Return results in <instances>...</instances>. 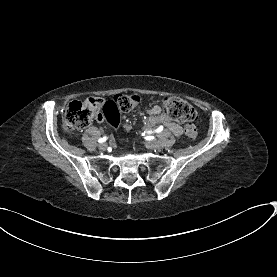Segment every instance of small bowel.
Returning <instances> with one entry per match:
<instances>
[{"label": "small bowel", "instance_id": "1", "mask_svg": "<svg viewBox=\"0 0 277 277\" xmlns=\"http://www.w3.org/2000/svg\"><path fill=\"white\" fill-rule=\"evenodd\" d=\"M144 113L149 116L148 123L149 125L153 126L156 124H162L167 129H169L174 135L182 136L183 135V128L172 121L168 115H166L161 106L155 105L151 108L145 109ZM127 129H130V126H126Z\"/></svg>", "mask_w": 277, "mask_h": 277}]
</instances>
